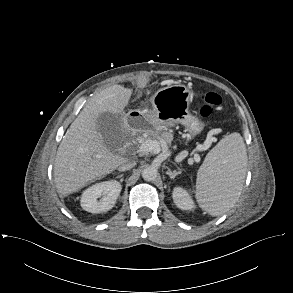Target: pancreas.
I'll return each mask as SVG.
<instances>
[{"instance_id": "1", "label": "pancreas", "mask_w": 293, "mask_h": 293, "mask_svg": "<svg viewBox=\"0 0 293 293\" xmlns=\"http://www.w3.org/2000/svg\"><path fill=\"white\" fill-rule=\"evenodd\" d=\"M148 135L151 138H157V139H161L163 141H165L166 143H170L171 138H170V133L168 132H150L148 133Z\"/></svg>"}]
</instances>
